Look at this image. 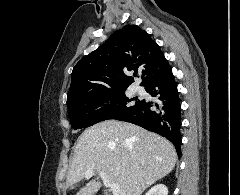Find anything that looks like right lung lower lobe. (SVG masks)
Here are the masks:
<instances>
[{
	"label": "right lung lower lobe",
	"mask_w": 240,
	"mask_h": 195,
	"mask_svg": "<svg viewBox=\"0 0 240 195\" xmlns=\"http://www.w3.org/2000/svg\"><path fill=\"white\" fill-rule=\"evenodd\" d=\"M145 90L155 97L154 101L141 100L136 107L114 119L139 125L166 137L174 144L180 157L181 105L172 70L153 80Z\"/></svg>",
	"instance_id": "98d812e1"
}]
</instances>
